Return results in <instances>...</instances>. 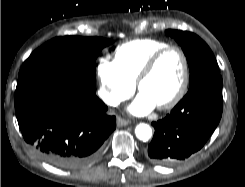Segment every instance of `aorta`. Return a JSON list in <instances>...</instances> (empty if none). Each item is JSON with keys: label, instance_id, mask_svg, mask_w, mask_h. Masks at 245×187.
Here are the masks:
<instances>
[{"label": "aorta", "instance_id": "762f6f07", "mask_svg": "<svg viewBox=\"0 0 245 187\" xmlns=\"http://www.w3.org/2000/svg\"><path fill=\"white\" fill-rule=\"evenodd\" d=\"M136 137L141 141H148L152 136V129L148 124L140 123L135 128Z\"/></svg>", "mask_w": 245, "mask_h": 187}]
</instances>
